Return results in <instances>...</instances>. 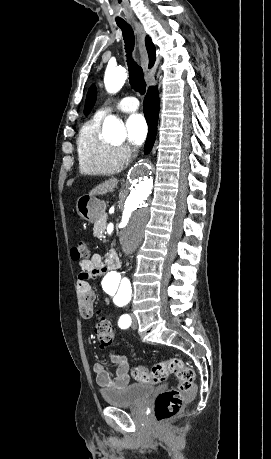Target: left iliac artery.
I'll use <instances>...</instances> for the list:
<instances>
[{"mask_svg":"<svg viewBox=\"0 0 271 459\" xmlns=\"http://www.w3.org/2000/svg\"><path fill=\"white\" fill-rule=\"evenodd\" d=\"M121 305H124V303H122ZM131 322V317L128 314H124L120 317L118 325L121 329H126L131 325Z\"/></svg>","mask_w":271,"mask_h":459,"instance_id":"left-iliac-artery-1","label":"left iliac artery"}]
</instances>
